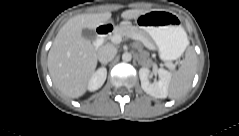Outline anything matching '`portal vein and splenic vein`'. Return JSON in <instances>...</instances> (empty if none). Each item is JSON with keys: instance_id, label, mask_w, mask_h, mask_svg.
I'll use <instances>...</instances> for the list:
<instances>
[{"instance_id": "obj_1", "label": "portal vein and splenic vein", "mask_w": 239, "mask_h": 136, "mask_svg": "<svg viewBox=\"0 0 239 136\" xmlns=\"http://www.w3.org/2000/svg\"><path fill=\"white\" fill-rule=\"evenodd\" d=\"M130 37L133 39L141 40L145 45H147L149 47V45L147 43H145L144 39H142L140 37L133 36V35H131ZM111 41L114 44H119L122 41V37L120 35H114L111 37ZM165 65L169 68H173V65L171 63H166Z\"/></svg>"}]
</instances>
